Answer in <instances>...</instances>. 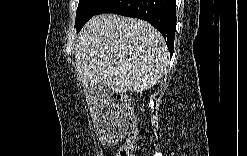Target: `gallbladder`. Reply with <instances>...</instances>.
I'll return each instance as SVG.
<instances>
[{"label": "gallbladder", "instance_id": "gallbladder-1", "mask_svg": "<svg viewBox=\"0 0 247 156\" xmlns=\"http://www.w3.org/2000/svg\"><path fill=\"white\" fill-rule=\"evenodd\" d=\"M89 92L95 94H99L102 92L108 95L112 94V90L106 85V83H103L102 81H98L97 83L90 85Z\"/></svg>", "mask_w": 247, "mask_h": 156}]
</instances>
